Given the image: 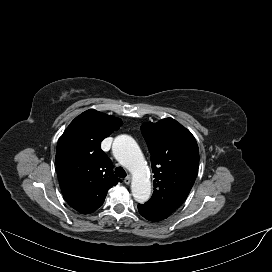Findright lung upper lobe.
<instances>
[{
    "mask_svg": "<svg viewBox=\"0 0 272 272\" xmlns=\"http://www.w3.org/2000/svg\"><path fill=\"white\" fill-rule=\"evenodd\" d=\"M122 124L119 118L89 109L71 122L58 141L56 168L61 191L81 214L99 208L108 190L121 182L100 145Z\"/></svg>",
    "mask_w": 272,
    "mask_h": 272,
    "instance_id": "1",
    "label": "right lung upper lobe"
}]
</instances>
